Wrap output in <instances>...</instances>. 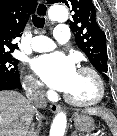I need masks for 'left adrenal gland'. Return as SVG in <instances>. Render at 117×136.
I'll return each instance as SVG.
<instances>
[{
    "instance_id": "left-adrenal-gland-1",
    "label": "left adrenal gland",
    "mask_w": 117,
    "mask_h": 136,
    "mask_svg": "<svg viewBox=\"0 0 117 136\" xmlns=\"http://www.w3.org/2000/svg\"><path fill=\"white\" fill-rule=\"evenodd\" d=\"M71 136H77V131H74Z\"/></svg>"
}]
</instances>
